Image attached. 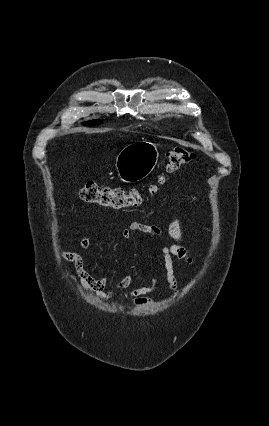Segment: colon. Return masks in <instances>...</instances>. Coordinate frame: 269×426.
<instances>
[{"mask_svg":"<svg viewBox=\"0 0 269 426\" xmlns=\"http://www.w3.org/2000/svg\"><path fill=\"white\" fill-rule=\"evenodd\" d=\"M196 158L195 152L184 148H175L168 154L165 173H173L180 167L191 163ZM163 175L156 185L149 187V193H154L157 186L162 184ZM81 200L86 203L104 208L124 209L134 207L142 201V194L138 189L129 190L120 187L101 186L95 182H87L78 191Z\"/></svg>","mask_w":269,"mask_h":426,"instance_id":"colon-1","label":"colon"}]
</instances>
